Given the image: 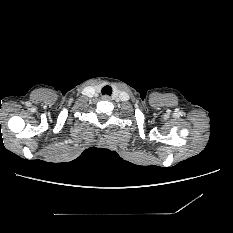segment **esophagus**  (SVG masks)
<instances>
[{"instance_id":"1","label":"esophagus","mask_w":233,"mask_h":233,"mask_svg":"<svg viewBox=\"0 0 233 233\" xmlns=\"http://www.w3.org/2000/svg\"><path fill=\"white\" fill-rule=\"evenodd\" d=\"M102 99H103V100H109L110 97H109L108 95H104V96L102 97Z\"/></svg>"}]
</instances>
